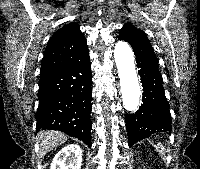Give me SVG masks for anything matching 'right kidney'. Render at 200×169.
Here are the masks:
<instances>
[{
	"instance_id": "obj_1",
	"label": "right kidney",
	"mask_w": 200,
	"mask_h": 169,
	"mask_svg": "<svg viewBox=\"0 0 200 169\" xmlns=\"http://www.w3.org/2000/svg\"><path fill=\"white\" fill-rule=\"evenodd\" d=\"M82 150L77 144L63 147L54 157L50 169H80Z\"/></svg>"
}]
</instances>
